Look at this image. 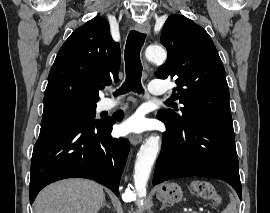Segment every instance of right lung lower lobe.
<instances>
[{"mask_svg":"<svg viewBox=\"0 0 270 213\" xmlns=\"http://www.w3.org/2000/svg\"><path fill=\"white\" fill-rule=\"evenodd\" d=\"M122 116V111H118L110 120L97 124L67 118L42 120L32 155L30 203L42 188L66 178L97 181L118 196L129 142L113 138L110 132Z\"/></svg>","mask_w":270,"mask_h":213,"instance_id":"1","label":"right lung lower lobe"}]
</instances>
